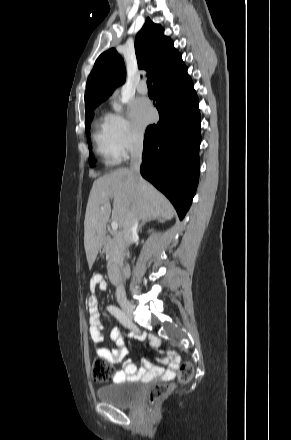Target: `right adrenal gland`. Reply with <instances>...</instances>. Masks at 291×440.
Returning <instances> with one entry per match:
<instances>
[{"mask_svg":"<svg viewBox=\"0 0 291 440\" xmlns=\"http://www.w3.org/2000/svg\"><path fill=\"white\" fill-rule=\"evenodd\" d=\"M150 220H144L142 221V223L139 225L138 231H141L142 227L149 222ZM158 221H162L161 219H158Z\"/></svg>","mask_w":291,"mask_h":440,"instance_id":"1","label":"right adrenal gland"}]
</instances>
